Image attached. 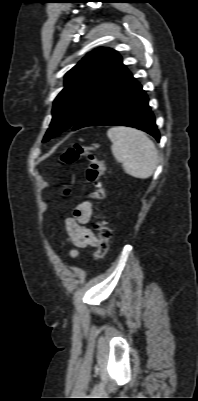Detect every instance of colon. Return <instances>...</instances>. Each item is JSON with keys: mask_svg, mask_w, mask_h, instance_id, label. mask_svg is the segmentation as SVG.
I'll list each match as a JSON object with an SVG mask.
<instances>
[{"mask_svg": "<svg viewBox=\"0 0 198 401\" xmlns=\"http://www.w3.org/2000/svg\"><path fill=\"white\" fill-rule=\"evenodd\" d=\"M82 158H85L88 161V166L86 168V179L94 186V190L89 195V198L93 202L99 203L106 196V188L102 182L104 163L97 155L96 148L93 146H85L80 143H75L62 154L61 161L64 164L70 165ZM65 194H69V189H65ZM94 228L97 232L98 238L97 250L94 254V257L98 260L104 257L107 253L112 232L108 226V223L101 217L100 214L96 215Z\"/></svg>", "mask_w": 198, "mask_h": 401, "instance_id": "obj_1", "label": "colon"}]
</instances>
